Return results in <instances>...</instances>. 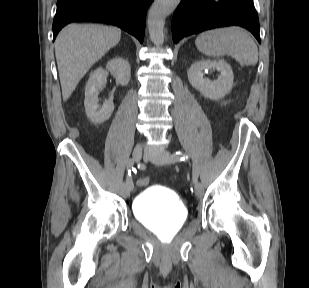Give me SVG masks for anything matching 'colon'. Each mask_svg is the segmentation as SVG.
Here are the masks:
<instances>
[{
    "label": "colon",
    "instance_id": "obj_1",
    "mask_svg": "<svg viewBox=\"0 0 309 288\" xmlns=\"http://www.w3.org/2000/svg\"><path fill=\"white\" fill-rule=\"evenodd\" d=\"M149 183V178L148 177H142L137 181V185L140 187H145Z\"/></svg>",
    "mask_w": 309,
    "mask_h": 288
}]
</instances>
